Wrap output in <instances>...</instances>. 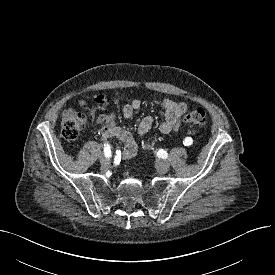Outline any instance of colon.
I'll return each mask as SVG.
<instances>
[{"label": "colon", "mask_w": 275, "mask_h": 275, "mask_svg": "<svg viewBox=\"0 0 275 275\" xmlns=\"http://www.w3.org/2000/svg\"><path fill=\"white\" fill-rule=\"evenodd\" d=\"M99 105L106 104L103 96L95 99ZM207 121L206 112L202 108H194L184 116V122L196 128H202ZM87 117L85 114L73 109H66L62 114L61 131L62 136L67 140L76 139L80 132L86 127Z\"/></svg>", "instance_id": "colon-1"}]
</instances>
